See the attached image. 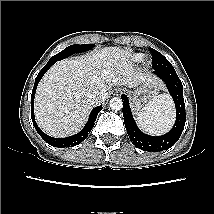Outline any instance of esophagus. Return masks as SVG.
I'll list each match as a JSON object with an SVG mask.
<instances>
[{"instance_id":"obj_1","label":"esophagus","mask_w":214,"mask_h":214,"mask_svg":"<svg viewBox=\"0 0 214 214\" xmlns=\"http://www.w3.org/2000/svg\"><path fill=\"white\" fill-rule=\"evenodd\" d=\"M121 92H122V89H121V88H117V89L115 90L116 95L120 94Z\"/></svg>"}]
</instances>
